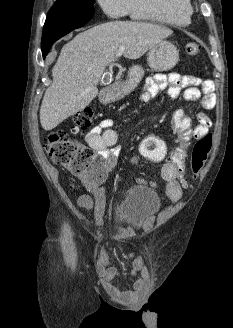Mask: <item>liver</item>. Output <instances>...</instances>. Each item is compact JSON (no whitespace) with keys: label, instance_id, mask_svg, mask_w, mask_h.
Returning <instances> with one entry per match:
<instances>
[{"label":"liver","instance_id":"6515ba94","mask_svg":"<svg viewBox=\"0 0 233 328\" xmlns=\"http://www.w3.org/2000/svg\"><path fill=\"white\" fill-rule=\"evenodd\" d=\"M172 33L161 25L112 21L76 35L63 46L52 69L53 82L40 108L43 129H54L91 103L98 94L96 85L105 67L117 60L120 46L125 47V58L138 59Z\"/></svg>","mask_w":233,"mask_h":328}]
</instances>
